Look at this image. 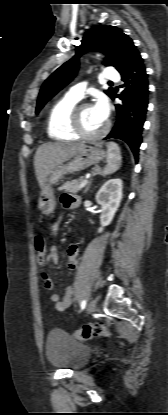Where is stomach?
Returning a JSON list of instances; mask_svg holds the SVG:
<instances>
[{
    "mask_svg": "<svg viewBox=\"0 0 168 415\" xmlns=\"http://www.w3.org/2000/svg\"><path fill=\"white\" fill-rule=\"evenodd\" d=\"M104 157L105 152L101 148L97 146L84 145V147L70 161L53 169L44 187L41 189L38 204L40 211L45 215L53 213L56 201L52 186L57 184L63 175L84 170L97 164Z\"/></svg>",
    "mask_w": 168,
    "mask_h": 415,
    "instance_id": "obj_1",
    "label": "stomach"
}]
</instances>
